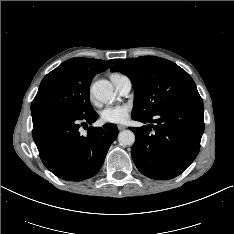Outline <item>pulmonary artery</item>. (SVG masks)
<instances>
[{"mask_svg": "<svg viewBox=\"0 0 234 234\" xmlns=\"http://www.w3.org/2000/svg\"><path fill=\"white\" fill-rule=\"evenodd\" d=\"M111 81L113 82L116 90L121 95H127L132 87L131 80L125 75H119L111 77Z\"/></svg>", "mask_w": 234, "mask_h": 234, "instance_id": "pulmonary-artery-1", "label": "pulmonary artery"}]
</instances>
